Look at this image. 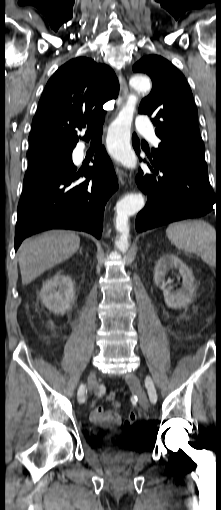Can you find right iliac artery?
I'll list each match as a JSON object with an SVG mask.
<instances>
[{
    "mask_svg": "<svg viewBox=\"0 0 221 510\" xmlns=\"http://www.w3.org/2000/svg\"><path fill=\"white\" fill-rule=\"evenodd\" d=\"M85 392H86V386L81 385L78 390V400L80 403H83L85 401Z\"/></svg>",
    "mask_w": 221,
    "mask_h": 510,
    "instance_id": "right-iliac-artery-1",
    "label": "right iliac artery"
}]
</instances>
